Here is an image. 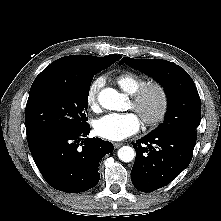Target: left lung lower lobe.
Here are the masks:
<instances>
[{"label":"left lung lower lobe","instance_id":"1","mask_svg":"<svg viewBox=\"0 0 221 221\" xmlns=\"http://www.w3.org/2000/svg\"><path fill=\"white\" fill-rule=\"evenodd\" d=\"M196 138L176 133H150L133 145L136 158L131 180L141 192H151L174 180L191 162Z\"/></svg>","mask_w":221,"mask_h":221}]
</instances>
